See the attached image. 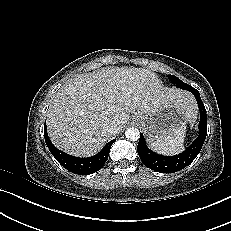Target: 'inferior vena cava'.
Masks as SVG:
<instances>
[{"mask_svg":"<svg viewBox=\"0 0 231 231\" xmlns=\"http://www.w3.org/2000/svg\"><path fill=\"white\" fill-rule=\"evenodd\" d=\"M107 130L111 133H114L116 134L117 133V130H119V126L115 123H112L110 124L108 127H107Z\"/></svg>","mask_w":231,"mask_h":231,"instance_id":"1","label":"inferior vena cava"}]
</instances>
